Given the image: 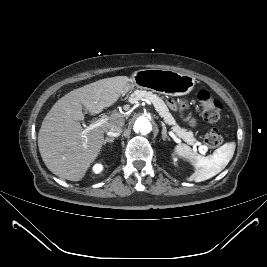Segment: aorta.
I'll use <instances>...</instances> for the list:
<instances>
[{
	"instance_id": "aorta-1",
	"label": "aorta",
	"mask_w": 267,
	"mask_h": 267,
	"mask_svg": "<svg viewBox=\"0 0 267 267\" xmlns=\"http://www.w3.org/2000/svg\"><path fill=\"white\" fill-rule=\"evenodd\" d=\"M152 129H153L152 123L150 119L146 116L138 117L134 123V130L143 135L150 133Z\"/></svg>"
}]
</instances>
